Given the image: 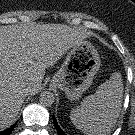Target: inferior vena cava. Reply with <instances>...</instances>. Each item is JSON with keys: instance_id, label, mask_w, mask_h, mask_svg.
Instances as JSON below:
<instances>
[{"instance_id": "602c4592", "label": "inferior vena cava", "mask_w": 135, "mask_h": 135, "mask_svg": "<svg viewBox=\"0 0 135 135\" xmlns=\"http://www.w3.org/2000/svg\"><path fill=\"white\" fill-rule=\"evenodd\" d=\"M25 91L30 92V91H31V86H30V85L27 86V87L25 88Z\"/></svg>"}]
</instances>
